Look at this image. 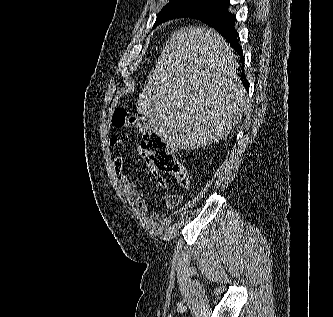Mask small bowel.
<instances>
[{"label": "small bowel", "instance_id": "obj_1", "mask_svg": "<svg viewBox=\"0 0 333 317\" xmlns=\"http://www.w3.org/2000/svg\"><path fill=\"white\" fill-rule=\"evenodd\" d=\"M127 143H128V136L125 133L121 132L113 135L109 141L110 147L124 148ZM137 153L140 157L146 160L147 165L150 167L151 173L155 178L157 184L161 188L166 189L167 188L166 180L159 172H157L152 167L151 163L146 158V154L139 145H137ZM123 166H124V158L120 153L114 160L115 176L133 211L139 216H148L150 220H156L158 218V214L155 212L148 214V206L145 200L141 196L140 187L129 181V179L126 177V175L123 172ZM181 200H182L181 195L171 194L166 199V206L168 208H174L180 204Z\"/></svg>", "mask_w": 333, "mask_h": 317}]
</instances>
